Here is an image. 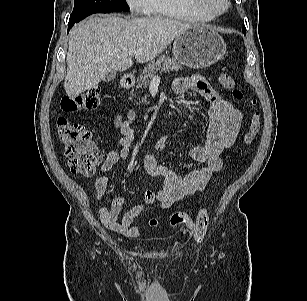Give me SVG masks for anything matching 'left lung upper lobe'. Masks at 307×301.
Returning <instances> with one entry per match:
<instances>
[{"label": "left lung upper lobe", "mask_w": 307, "mask_h": 301, "mask_svg": "<svg viewBox=\"0 0 307 301\" xmlns=\"http://www.w3.org/2000/svg\"><path fill=\"white\" fill-rule=\"evenodd\" d=\"M242 31H243L244 34H246V28L245 27L242 28Z\"/></svg>", "instance_id": "obj_1"}]
</instances>
